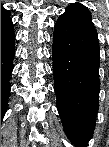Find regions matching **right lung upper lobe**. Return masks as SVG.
<instances>
[{
    "label": "right lung upper lobe",
    "instance_id": "right-lung-upper-lobe-1",
    "mask_svg": "<svg viewBox=\"0 0 109 147\" xmlns=\"http://www.w3.org/2000/svg\"><path fill=\"white\" fill-rule=\"evenodd\" d=\"M10 16L9 10H6L5 8L1 7V21L5 20Z\"/></svg>",
    "mask_w": 109,
    "mask_h": 147
}]
</instances>
